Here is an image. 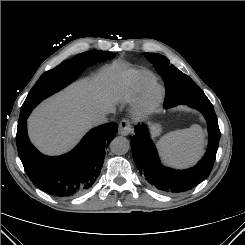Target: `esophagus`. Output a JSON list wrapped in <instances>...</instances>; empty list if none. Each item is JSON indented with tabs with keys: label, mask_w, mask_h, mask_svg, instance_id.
<instances>
[{
	"label": "esophagus",
	"mask_w": 245,
	"mask_h": 245,
	"mask_svg": "<svg viewBox=\"0 0 245 245\" xmlns=\"http://www.w3.org/2000/svg\"><path fill=\"white\" fill-rule=\"evenodd\" d=\"M132 132V125L129 120L123 119L119 123L118 133L123 136H127Z\"/></svg>",
	"instance_id": "esophagus-1"
}]
</instances>
